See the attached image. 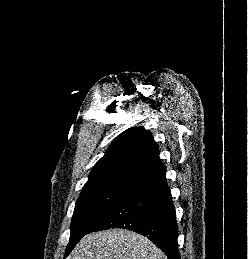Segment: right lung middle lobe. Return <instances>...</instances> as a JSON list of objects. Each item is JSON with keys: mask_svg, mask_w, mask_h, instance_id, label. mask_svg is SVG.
I'll return each instance as SVG.
<instances>
[{"mask_svg": "<svg viewBox=\"0 0 248 259\" xmlns=\"http://www.w3.org/2000/svg\"><path fill=\"white\" fill-rule=\"evenodd\" d=\"M130 186L132 185L123 182H106L83 187L75 205L65 257Z\"/></svg>", "mask_w": 248, "mask_h": 259, "instance_id": "1", "label": "right lung middle lobe"}]
</instances>
